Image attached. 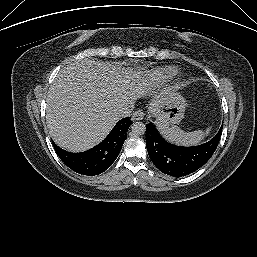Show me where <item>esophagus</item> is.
Here are the masks:
<instances>
[{
	"instance_id": "34e87169",
	"label": "esophagus",
	"mask_w": 257,
	"mask_h": 257,
	"mask_svg": "<svg viewBox=\"0 0 257 257\" xmlns=\"http://www.w3.org/2000/svg\"><path fill=\"white\" fill-rule=\"evenodd\" d=\"M144 117V113L140 110L138 111H135L133 114H132V120L133 121H139V120H142Z\"/></svg>"
}]
</instances>
